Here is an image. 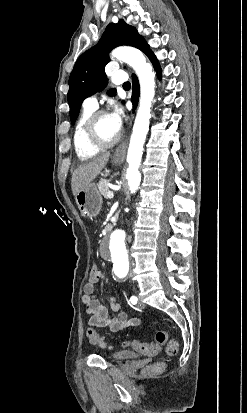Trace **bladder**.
Instances as JSON below:
<instances>
[{"instance_id":"bladder-1","label":"bladder","mask_w":247,"mask_h":413,"mask_svg":"<svg viewBox=\"0 0 247 413\" xmlns=\"http://www.w3.org/2000/svg\"><path fill=\"white\" fill-rule=\"evenodd\" d=\"M138 355V352H129V351H119V352H114L110 354V358L112 360H125V359H131L134 358Z\"/></svg>"}]
</instances>
